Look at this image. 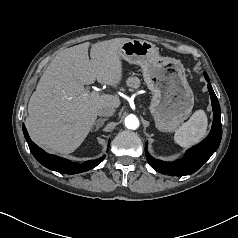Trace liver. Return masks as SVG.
<instances>
[{"label": "liver", "instance_id": "6515ba94", "mask_svg": "<svg viewBox=\"0 0 238 238\" xmlns=\"http://www.w3.org/2000/svg\"><path fill=\"white\" fill-rule=\"evenodd\" d=\"M128 38L88 42L56 54L41 76L28 103L25 120L31 139L50 152H74L87 137L100 106L118 108L117 96L89 93L84 85L117 87L122 80L120 47Z\"/></svg>", "mask_w": 238, "mask_h": 238}]
</instances>
